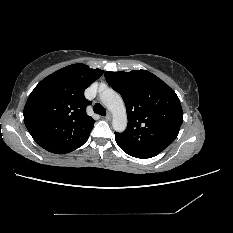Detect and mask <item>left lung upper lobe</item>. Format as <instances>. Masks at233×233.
I'll use <instances>...</instances> for the list:
<instances>
[{
  "label": "left lung upper lobe",
  "instance_id": "1",
  "mask_svg": "<svg viewBox=\"0 0 233 233\" xmlns=\"http://www.w3.org/2000/svg\"><path fill=\"white\" fill-rule=\"evenodd\" d=\"M108 84L122 96L128 126L115 133L121 145L137 154L156 156L177 137L183 111L176 93L146 70L105 72Z\"/></svg>",
  "mask_w": 233,
  "mask_h": 233
}]
</instances>
